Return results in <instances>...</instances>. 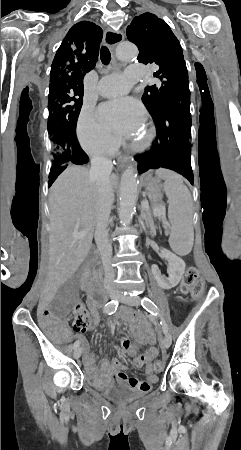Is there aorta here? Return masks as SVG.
Here are the masks:
<instances>
[{
	"mask_svg": "<svg viewBox=\"0 0 241 450\" xmlns=\"http://www.w3.org/2000/svg\"><path fill=\"white\" fill-rule=\"evenodd\" d=\"M138 55V49L134 44L121 43L116 49V56L121 61H128ZM137 175L132 167H128L121 176L120 183V211L119 219L123 226H128L134 214L137 200Z\"/></svg>",
	"mask_w": 241,
	"mask_h": 450,
	"instance_id": "obj_1",
	"label": "aorta"
}]
</instances>
